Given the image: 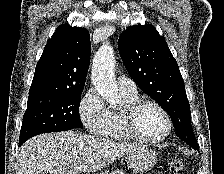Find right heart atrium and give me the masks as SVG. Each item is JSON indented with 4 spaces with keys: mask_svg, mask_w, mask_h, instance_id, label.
<instances>
[{
    "mask_svg": "<svg viewBox=\"0 0 224 174\" xmlns=\"http://www.w3.org/2000/svg\"><path fill=\"white\" fill-rule=\"evenodd\" d=\"M79 115L85 128L94 135H101L108 123V109L94 88L88 89L79 103Z\"/></svg>",
    "mask_w": 224,
    "mask_h": 174,
    "instance_id": "right-heart-atrium-1",
    "label": "right heart atrium"
}]
</instances>
